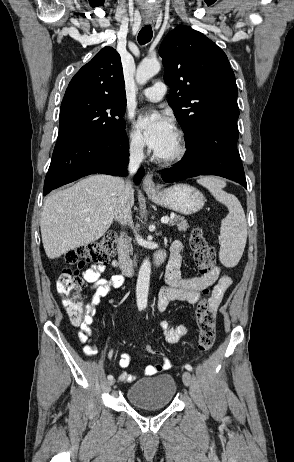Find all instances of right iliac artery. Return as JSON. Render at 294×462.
<instances>
[{"label":"right iliac artery","mask_w":294,"mask_h":462,"mask_svg":"<svg viewBox=\"0 0 294 462\" xmlns=\"http://www.w3.org/2000/svg\"><path fill=\"white\" fill-rule=\"evenodd\" d=\"M112 355V352L109 353V356L111 357ZM113 379V376L112 375H108V380H112Z\"/></svg>","instance_id":"82829eb1"}]
</instances>
